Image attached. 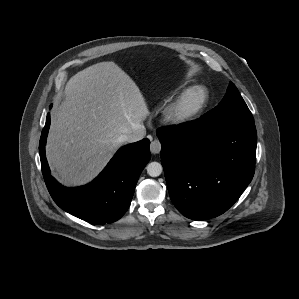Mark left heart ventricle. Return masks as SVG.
Instances as JSON below:
<instances>
[{
	"instance_id": "left-heart-ventricle-1",
	"label": "left heart ventricle",
	"mask_w": 299,
	"mask_h": 299,
	"mask_svg": "<svg viewBox=\"0 0 299 299\" xmlns=\"http://www.w3.org/2000/svg\"><path fill=\"white\" fill-rule=\"evenodd\" d=\"M197 100V97H194L192 100H191V102L193 103V102H195Z\"/></svg>"
}]
</instances>
